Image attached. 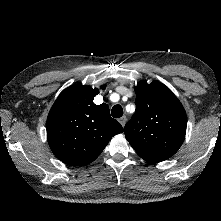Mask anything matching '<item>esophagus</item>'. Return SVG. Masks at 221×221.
<instances>
[{
  "mask_svg": "<svg viewBox=\"0 0 221 221\" xmlns=\"http://www.w3.org/2000/svg\"><path fill=\"white\" fill-rule=\"evenodd\" d=\"M126 121H127V118L125 116H122L120 119H119V122L120 124L124 127L125 124H126Z\"/></svg>",
  "mask_w": 221,
  "mask_h": 221,
  "instance_id": "esophagus-1",
  "label": "esophagus"
}]
</instances>
